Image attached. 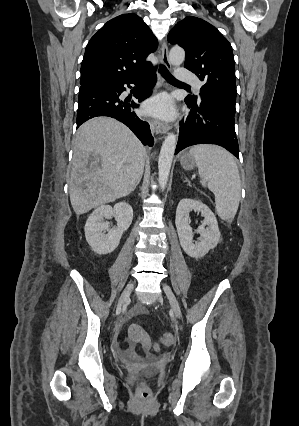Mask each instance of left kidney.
<instances>
[{
  "label": "left kidney",
  "mask_w": 299,
  "mask_h": 426,
  "mask_svg": "<svg viewBox=\"0 0 299 426\" xmlns=\"http://www.w3.org/2000/svg\"><path fill=\"white\" fill-rule=\"evenodd\" d=\"M201 212L204 221L198 227L200 242L193 243V232L190 227V213L192 211ZM175 224L180 240V245L187 255L193 258L205 256L209 250L214 249L220 240V231L217 219L210 208L200 200L185 198L182 199L176 210Z\"/></svg>",
  "instance_id": "obj_1"
}]
</instances>
